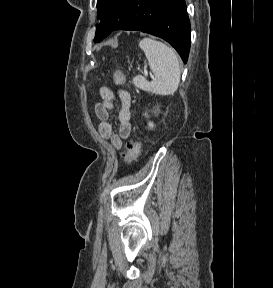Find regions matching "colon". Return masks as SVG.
Here are the masks:
<instances>
[{"label":"colon","instance_id":"obj_1","mask_svg":"<svg viewBox=\"0 0 273 288\" xmlns=\"http://www.w3.org/2000/svg\"><path fill=\"white\" fill-rule=\"evenodd\" d=\"M116 85H122L125 82V74L122 70L115 71L113 76ZM141 150V142L138 140H129L125 144L124 152L122 155L124 164H130L139 155Z\"/></svg>","mask_w":273,"mask_h":288}]
</instances>
